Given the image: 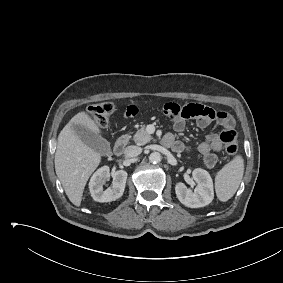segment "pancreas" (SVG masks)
<instances>
[{"label":"pancreas","instance_id":"cf45deb5","mask_svg":"<svg viewBox=\"0 0 283 283\" xmlns=\"http://www.w3.org/2000/svg\"><path fill=\"white\" fill-rule=\"evenodd\" d=\"M132 139L134 140V142L137 145H145L146 143H148L151 139L152 136L147 133L145 125H143L132 137Z\"/></svg>","mask_w":283,"mask_h":283}]
</instances>
